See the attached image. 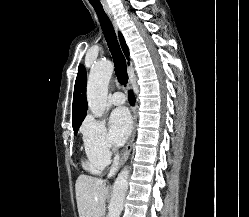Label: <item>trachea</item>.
Wrapping results in <instances>:
<instances>
[{
	"mask_svg": "<svg viewBox=\"0 0 249 217\" xmlns=\"http://www.w3.org/2000/svg\"><path fill=\"white\" fill-rule=\"evenodd\" d=\"M93 8L99 18L104 37L113 57L115 75L117 76L118 82L120 84L126 85L128 82L126 60L120 49L113 25L102 6L93 5Z\"/></svg>",
	"mask_w": 249,
	"mask_h": 217,
	"instance_id": "3493384b",
	"label": "trachea"
}]
</instances>
